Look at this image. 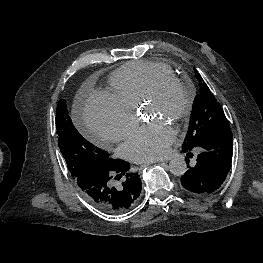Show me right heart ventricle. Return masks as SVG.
Masks as SVG:
<instances>
[{"label": "right heart ventricle", "instance_id": "e07e8e85", "mask_svg": "<svg viewBox=\"0 0 263 263\" xmlns=\"http://www.w3.org/2000/svg\"><path fill=\"white\" fill-rule=\"evenodd\" d=\"M163 76H175L166 64L152 61L128 62L110 76L111 95L121 104L135 110L150 87Z\"/></svg>", "mask_w": 263, "mask_h": 263}]
</instances>
